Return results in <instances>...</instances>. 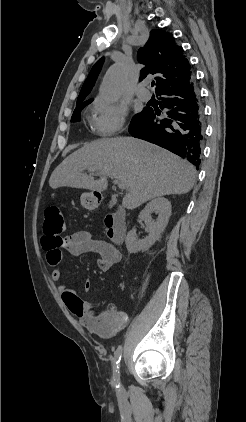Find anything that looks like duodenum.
I'll return each mask as SVG.
<instances>
[{"mask_svg": "<svg viewBox=\"0 0 246 422\" xmlns=\"http://www.w3.org/2000/svg\"><path fill=\"white\" fill-rule=\"evenodd\" d=\"M105 225L108 236L115 243H121L126 232V212L124 208L118 207L114 212L109 213L105 218Z\"/></svg>", "mask_w": 246, "mask_h": 422, "instance_id": "410a0bca", "label": "duodenum"}]
</instances>
